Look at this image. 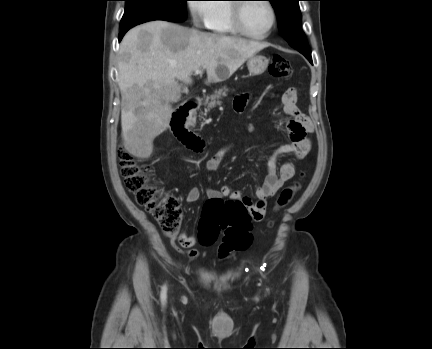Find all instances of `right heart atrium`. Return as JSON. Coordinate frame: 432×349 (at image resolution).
<instances>
[{
	"mask_svg": "<svg viewBox=\"0 0 432 349\" xmlns=\"http://www.w3.org/2000/svg\"><path fill=\"white\" fill-rule=\"evenodd\" d=\"M188 11L192 20V23L201 27L206 24L211 5L209 0H189L187 1Z\"/></svg>",
	"mask_w": 432,
	"mask_h": 349,
	"instance_id": "1",
	"label": "right heart atrium"
}]
</instances>
